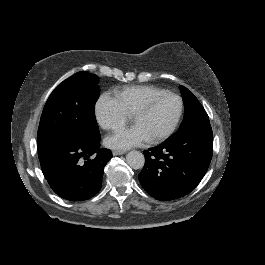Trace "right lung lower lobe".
I'll list each match as a JSON object with an SVG mask.
<instances>
[{
	"label": "right lung lower lobe",
	"mask_w": 265,
	"mask_h": 265,
	"mask_svg": "<svg viewBox=\"0 0 265 265\" xmlns=\"http://www.w3.org/2000/svg\"><path fill=\"white\" fill-rule=\"evenodd\" d=\"M99 141L53 138L38 146L43 175L58 196L69 201H83L98 193L104 167L112 158L110 150L100 149Z\"/></svg>",
	"instance_id": "98d812e1"
}]
</instances>
